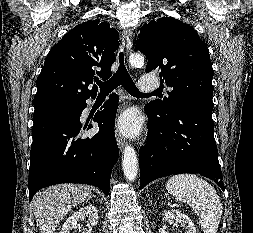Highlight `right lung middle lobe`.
I'll use <instances>...</instances> for the list:
<instances>
[{
  "mask_svg": "<svg viewBox=\"0 0 253 233\" xmlns=\"http://www.w3.org/2000/svg\"><path fill=\"white\" fill-rule=\"evenodd\" d=\"M54 101H63V102H69V101H72V100H51V101H47V102H43V103H40V104H36L34 105L35 107H39L41 105H44V104H47V103H50V102H54Z\"/></svg>",
  "mask_w": 253,
  "mask_h": 233,
  "instance_id": "1",
  "label": "right lung middle lobe"
}]
</instances>
